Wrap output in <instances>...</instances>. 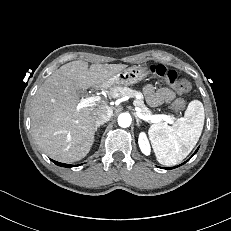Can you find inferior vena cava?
<instances>
[{"mask_svg": "<svg viewBox=\"0 0 231 231\" xmlns=\"http://www.w3.org/2000/svg\"><path fill=\"white\" fill-rule=\"evenodd\" d=\"M112 109L109 106H101L96 111V124L106 123L110 120L112 116Z\"/></svg>", "mask_w": 231, "mask_h": 231, "instance_id": "1", "label": "inferior vena cava"}]
</instances>
